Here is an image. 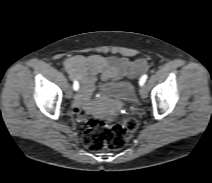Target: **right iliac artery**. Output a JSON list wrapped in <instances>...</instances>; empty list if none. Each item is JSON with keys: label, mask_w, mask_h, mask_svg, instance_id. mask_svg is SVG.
Returning a JSON list of instances; mask_svg holds the SVG:
<instances>
[{"label": "right iliac artery", "mask_w": 212, "mask_h": 183, "mask_svg": "<svg viewBox=\"0 0 212 183\" xmlns=\"http://www.w3.org/2000/svg\"><path fill=\"white\" fill-rule=\"evenodd\" d=\"M73 89L76 91L79 89V83L75 80L73 84Z\"/></svg>", "instance_id": "obj_1"}]
</instances>
